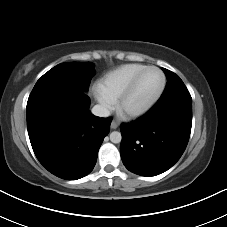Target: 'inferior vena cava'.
<instances>
[{
	"mask_svg": "<svg viewBox=\"0 0 227 227\" xmlns=\"http://www.w3.org/2000/svg\"><path fill=\"white\" fill-rule=\"evenodd\" d=\"M92 113L98 117H109L110 111L103 105H95L92 108Z\"/></svg>",
	"mask_w": 227,
	"mask_h": 227,
	"instance_id": "602c4592",
	"label": "inferior vena cava"
}]
</instances>
